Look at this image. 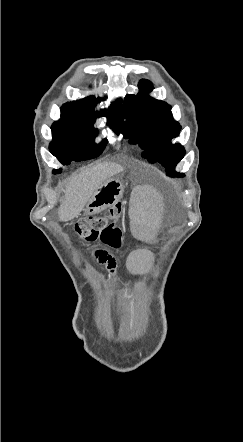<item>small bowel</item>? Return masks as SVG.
<instances>
[{"label":"small bowel","mask_w":243,"mask_h":442,"mask_svg":"<svg viewBox=\"0 0 243 442\" xmlns=\"http://www.w3.org/2000/svg\"><path fill=\"white\" fill-rule=\"evenodd\" d=\"M98 255V254H97ZM98 261L101 264H104L108 270V272L112 275L115 276L116 275V271H117V263L115 261V259L112 257L111 259H109L108 261H101L100 258L98 259Z\"/></svg>","instance_id":"1"}]
</instances>
